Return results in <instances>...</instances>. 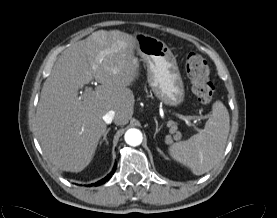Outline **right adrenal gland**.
<instances>
[{
  "instance_id": "1",
  "label": "right adrenal gland",
  "mask_w": 277,
  "mask_h": 218,
  "mask_svg": "<svg viewBox=\"0 0 277 218\" xmlns=\"http://www.w3.org/2000/svg\"><path fill=\"white\" fill-rule=\"evenodd\" d=\"M110 128H108L105 132V134L103 135V139L100 141V145L105 141V144L108 145V140H107V134L109 133Z\"/></svg>"
}]
</instances>
